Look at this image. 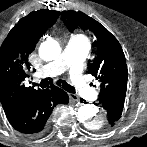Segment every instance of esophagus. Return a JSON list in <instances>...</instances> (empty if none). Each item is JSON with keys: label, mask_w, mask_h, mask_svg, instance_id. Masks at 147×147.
<instances>
[{"label": "esophagus", "mask_w": 147, "mask_h": 147, "mask_svg": "<svg viewBox=\"0 0 147 147\" xmlns=\"http://www.w3.org/2000/svg\"><path fill=\"white\" fill-rule=\"evenodd\" d=\"M69 98L72 102H78L79 97L76 94H69Z\"/></svg>", "instance_id": "obj_1"}]
</instances>
